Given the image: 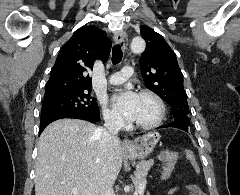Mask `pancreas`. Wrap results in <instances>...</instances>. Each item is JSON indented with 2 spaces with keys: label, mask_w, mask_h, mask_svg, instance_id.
Wrapping results in <instances>:
<instances>
[{
  "label": "pancreas",
  "mask_w": 240,
  "mask_h": 195,
  "mask_svg": "<svg viewBox=\"0 0 240 195\" xmlns=\"http://www.w3.org/2000/svg\"><path fill=\"white\" fill-rule=\"evenodd\" d=\"M153 163V159H141V161L137 163L136 171H134L132 177L136 189H139L141 183H146V175H148V171Z\"/></svg>",
  "instance_id": "obj_1"
}]
</instances>
